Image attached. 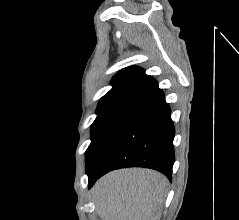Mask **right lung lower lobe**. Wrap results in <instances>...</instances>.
<instances>
[{
  "label": "right lung lower lobe",
  "instance_id": "1",
  "mask_svg": "<svg viewBox=\"0 0 239 220\" xmlns=\"http://www.w3.org/2000/svg\"><path fill=\"white\" fill-rule=\"evenodd\" d=\"M173 139L170 108L157 87L131 107L88 173L89 188L105 173L126 167L152 168L171 180L175 160Z\"/></svg>",
  "mask_w": 239,
  "mask_h": 220
}]
</instances>
